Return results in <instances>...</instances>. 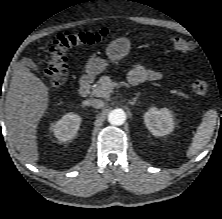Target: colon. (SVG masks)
Segmentation results:
<instances>
[{
	"label": "colon",
	"mask_w": 222,
	"mask_h": 219,
	"mask_svg": "<svg viewBox=\"0 0 222 219\" xmlns=\"http://www.w3.org/2000/svg\"><path fill=\"white\" fill-rule=\"evenodd\" d=\"M114 35L113 29H101L95 32H65L56 37L46 55V77L52 87L63 85L68 76L67 53L69 50L82 45H96ZM138 35V33H134ZM171 44L175 50L187 53L192 50L190 41L181 37H172ZM196 94L205 95L209 90V82L196 78L191 83Z\"/></svg>",
	"instance_id": "obj_1"
}]
</instances>
